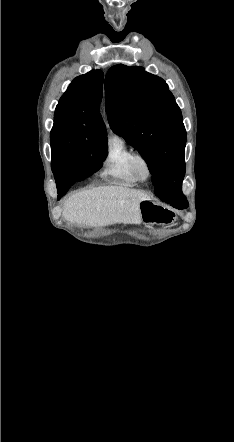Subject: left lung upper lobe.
Here are the masks:
<instances>
[{"label":"left lung upper lobe","instance_id":"obj_1","mask_svg":"<svg viewBox=\"0 0 234 442\" xmlns=\"http://www.w3.org/2000/svg\"><path fill=\"white\" fill-rule=\"evenodd\" d=\"M105 95L109 125L147 162L154 193L160 199L181 196L186 131L165 81L142 67L119 64L106 74Z\"/></svg>","mask_w":234,"mask_h":442}]
</instances>
